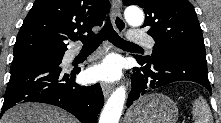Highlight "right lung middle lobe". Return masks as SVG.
Returning <instances> with one entry per match:
<instances>
[{
  "mask_svg": "<svg viewBox=\"0 0 221 123\" xmlns=\"http://www.w3.org/2000/svg\"><path fill=\"white\" fill-rule=\"evenodd\" d=\"M64 53H54V52H46V53H27V54H18L14 55L11 69L21 67L29 64L36 63H44V62H52L59 63L62 61Z\"/></svg>",
  "mask_w": 221,
  "mask_h": 123,
  "instance_id": "right-lung-middle-lobe-1",
  "label": "right lung middle lobe"
}]
</instances>
